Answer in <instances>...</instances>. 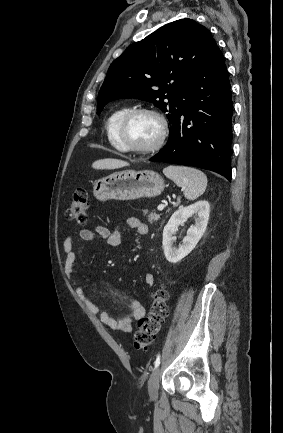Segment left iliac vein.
Listing matches in <instances>:
<instances>
[{
  "label": "left iliac vein",
  "mask_w": 283,
  "mask_h": 433,
  "mask_svg": "<svg viewBox=\"0 0 283 433\" xmlns=\"http://www.w3.org/2000/svg\"><path fill=\"white\" fill-rule=\"evenodd\" d=\"M160 368H156L148 380V393L150 398H157L159 386Z\"/></svg>",
  "instance_id": "left-iliac-vein-1"
}]
</instances>
